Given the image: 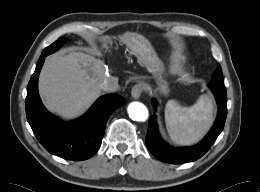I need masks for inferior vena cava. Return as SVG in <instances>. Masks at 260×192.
<instances>
[{
    "label": "inferior vena cava",
    "mask_w": 260,
    "mask_h": 192,
    "mask_svg": "<svg viewBox=\"0 0 260 192\" xmlns=\"http://www.w3.org/2000/svg\"><path fill=\"white\" fill-rule=\"evenodd\" d=\"M100 88L104 91H108V92H115L117 91L120 86L118 83V78L116 77H109L106 80H104L101 85Z\"/></svg>",
    "instance_id": "602c4592"
}]
</instances>
